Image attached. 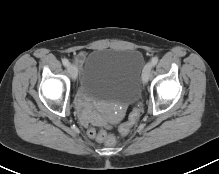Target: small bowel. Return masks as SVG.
<instances>
[{"label":"small bowel","mask_w":219,"mask_h":174,"mask_svg":"<svg viewBox=\"0 0 219 174\" xmlns=\"http://www.w3.org/2000/svg\"><path fill=\"white\" fill-rule=\"evenodd\" d=\"M85 53L84 52H80L75 56V61L77 64L81 65L84 60H85ZM80 108H81V115L82 118L88 122L91 119H93L95 117V115L93 114V112L90 109V106L88 103H86L83 99H80Z\"/></svg>","instance_id":"obj_1"}]
</instances>
